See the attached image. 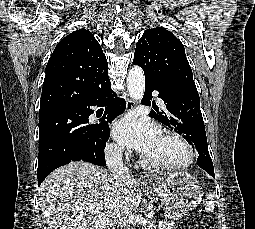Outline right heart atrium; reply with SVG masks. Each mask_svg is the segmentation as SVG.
<instances>
[{
	"label": "right heart atrium",
	"mask_w": 255,
	"mask_h": 229,
	"mask_svg": "<svg viewBox=\"0 0 255 229\" xmlns=\"http://www.w3.org/2000/svg\"><path fill=\"white\" fill-rule=\"evenodd\" d=\"M106 153L111 157H120L125 151L120 145L111 143L106 146Z\"/></svg>",
	"instance_id": "right-heart-atrium-1"
}]
</instances>
